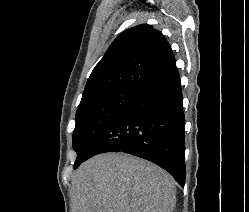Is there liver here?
<instances>
[{"mask_svg": "<svg viewBox=\"0 0 249 212\" xmlns=\"http://www.w3.org/2000/svg\"><path fill=\"white\" fill-rule=\"evenodd\" d=\"M175 182L165 170L130 154H99L72 178V212H173Z\"/></svg>", "mask_w": 249, "mask_h": 212, "instance_id": "1", "label": "liver"}]
</instances>
